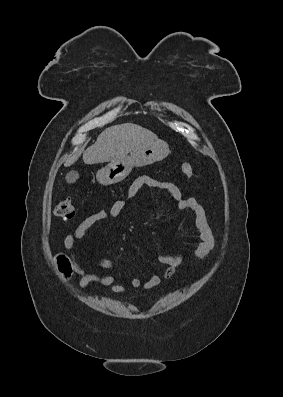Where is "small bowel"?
Segmentation results:
<instances>
[{
  "label": "small bowel",
  "mask_w": 283,
  "mask_h": 397,
  "mask_svg": "<svg viewBox=\"0 0 283 397\" xmlns=\"http://www.w3.org/2000/svg\"><path fill=\"white\" fill-rule=\"evenodd\" d=\"M144 187H152L167 190L176 202L177 207L182 211H190L195 216V225L199 231L200 243L195 250V256L198 260L204 259L214 247V237L210 225L209 216L202 206V204L195 198H183L180 190L176 185L170 182H162L150 176L143 175L138 177L129 186L127 191V198H133ZM126 205V199H119L115 201L109 208L99 210L88 217H86L75 228L73 233H69L64 238V247L71 254L73 259V266L75 272L80 276L79 287L84 290L91 283H97L102 286H108L115 293H123L125 288L119 284L114 276H101L94 271L84 269L76 260L74 255V246L77 241L82 240L86 233L98 222L116 218ZM158 262L165 265L163 271V278H171L175 275L176 268L183 261V253L175 255H160ZM115 266V262L110 259L101 260L97 267L99 269H111ZM161 282V276L152 275L146 282L142 283L139 278H133L131 285L134 288L142 287L144 290H150L158 286Z\"/></svg>",
  "instance_id": "obj_1"
}]
</instances>
